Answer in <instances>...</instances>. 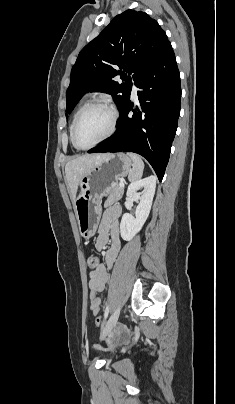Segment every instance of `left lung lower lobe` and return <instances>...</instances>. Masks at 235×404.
Listing matches in <instances>:
<instances>
[{
    "label": "left lung lower lobe",
    "instance_id": "left-lung-lower-lobe-1",
    "mask_svg": "<svg viewBox=\"0 0 235 404\" xmlns=\"http://www.w3.org/2000/svg\"><path fill=\"white\" fill-rule=\"evenodd\" d=\"M138 105L130 96L121 107L116 132L93 152H134L142 155L162 181L180 113V75L171 44L134 81ZM133 111V115L129 112Z\"/></svg>",
    "mask_w": 235,
    "mask_h": 404
}]
</instances>
